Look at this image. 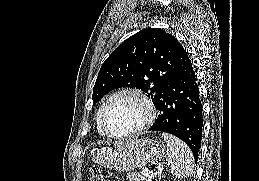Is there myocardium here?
<instances>
[{
    "label": "myocardium",
    "mask_w": 259,
    "mask_h": 181,
    "mask_svg": "<svg viewBox=\"0 0 259 181\" xmlns=\"http://www.w3.org/2000/svg\"><path fill=\"white\" fill-rule=\"evenodd\" d=\"M125 94L134 95L143 103L146 110V117L143 123L138 128L124 134H115L111 132L106 125L105 112L112 100H114L118 96L125 95ZM156 116H157V110L153 101L142 89L137 87H124L112 93L102 104L100 113H99V122L107 136L114 139H129L140 135L146 129H148L155 121Z\"/></svg>",
    "instance_id": "obj_1"
}]
</instances>
